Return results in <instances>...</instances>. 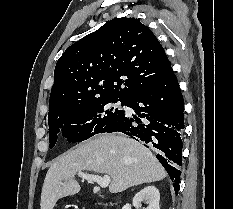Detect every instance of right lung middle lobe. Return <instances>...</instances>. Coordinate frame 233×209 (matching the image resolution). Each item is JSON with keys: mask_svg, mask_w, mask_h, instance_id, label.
Returning a JSON list of instances; mask_svg holds the SVG:
<instances>
[{"mask_svg": "<svg viewBox=\"0 0 233 209\" xmlns=\"http://www.w3.org/2000/svg\"><path fill=\"white\" fill-rule=\"evenodd\" d=\"M125 99L105 98L87 104L63 107L48 114L50 149L62 134L68 142H81L97 133H101L119 121L125 114L114 108L111 103Z\"/></svg>", "mask_w": 233, "mask_h": 209, "instance_id": "right-lung-middle-lobe-1", "label": "right lung middle lobe"}]
</instances>
